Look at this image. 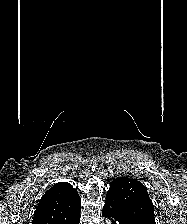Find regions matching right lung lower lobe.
Returning a JSON list of instances; mask_svg holds the SVG:
<instances>
[{"instance_id":"right-lung-lower-lobe-1","label":"right lung lower lobe","mask_w":187,"mask_h":224,"mask_svg":"<svg viewBox=\"0 0 187 224\" xmlns=\"http://www.w3.org/2000/svg\"><path fill=\"white\" fill-rule=\"evenodd\" d=\"M80 222V212L71 218L66 224H79Z\"/></svg>"}]
</instances>
